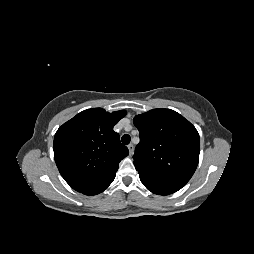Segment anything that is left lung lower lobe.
<instances>
[{
  "mask_svg": "<svg viewBox=\"0 0 254 254\" xmlns=\"http://www.w3.org/2000/svg\"><path fill=\"white\" fill-rule=\"evenodd\" d=\"M143 185L158 195H169L180 190L185 184L154 178L138 172Z\"/></svg>",
  "mask_w": 254,
  "mask_h": 254,
  "instance_id": "0a47b994",
  "label": "left lung lower lobe"
}]
</instances>
